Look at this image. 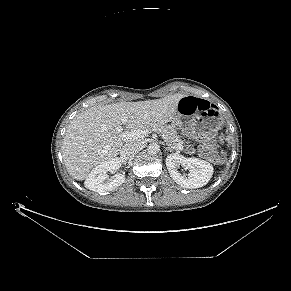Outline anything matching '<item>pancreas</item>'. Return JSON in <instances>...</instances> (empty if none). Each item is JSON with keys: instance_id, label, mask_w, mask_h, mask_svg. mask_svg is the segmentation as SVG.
<instances>
[{"instance_id": "1", "label": "pancreas", "mask_w": 291, "mask_h": 291, "mask_svg": "<svg viewBox=\"0 0 291 291\" xmlns=\"http://www.w3.org/2000/svg\"><path fill=\"white\" fill-rule=\"evenodd\" d=\"M150 129L155 130L168 144L175 150H178V145H184V141L182 140L181 136L178 135L177 130L167 124H157Z\"/></svg>"}]
</instances>
